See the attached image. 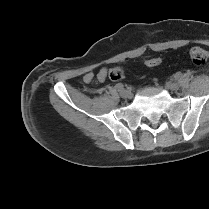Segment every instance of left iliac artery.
I'll return each mask as SVG.
<instances>
[{
  "mask_svg": "<svg viewBox=\"0 0 209 209\" xmlns=\"http://www.w3.org/2000/svg\"><path fill=\"white\" fill-rule=\"evenodd\" d=\"M180 79H181V74H176V75H174V76L172 77V80H173L174 82L180 81Z\"/></svg>",
  "mask_w": 209,
  "mask_h": 209,
  "instance_id": "1",
  "label": "left iliac artery"
}]
</instances>
